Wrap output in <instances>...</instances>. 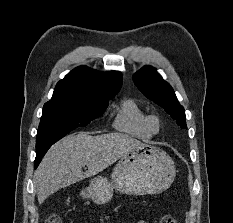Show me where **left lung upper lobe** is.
<instances>
[{
    "label": "left lung upper lobe",
    "instance_id": "left-lung-upper-lobe-1",
    "mask_svg": "<svg viewBox=\"0 0 233 223\" xmlns=\"http://www.w3.org/2000/svg\"><path fill=\"white\" fill-rule=\"evenodd\" d=\"M138 89L150 100L164 108L183 129H187L184 108L179 104L172 87L150 66L133 76Z\"/></svg>",
    "mask_w": 233,
    "mask_h": 223
}]
</instances>
